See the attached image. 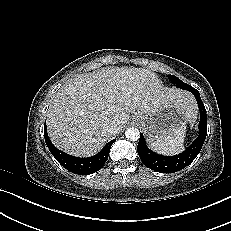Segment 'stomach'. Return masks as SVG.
<instances>
[{
  "instance_id": "1",
  "label": "stomach",
  "mask_w": 231,
  "mask_h": 231,
  "mask_svg": "<svg viewBox=\"0 0 231 231\" xmlns=\"http://www.w3.org/2000/svg\"><path fill=\"white\" fill-rule=\"evenodd\" d=\"M187 110L180 104L167 103L146 114H135L133 120L142 126L149 143L174 134L185 127Z\"/></svg>"
}]
</instances>
